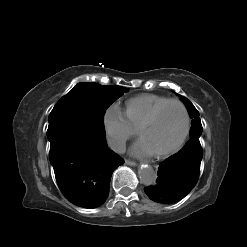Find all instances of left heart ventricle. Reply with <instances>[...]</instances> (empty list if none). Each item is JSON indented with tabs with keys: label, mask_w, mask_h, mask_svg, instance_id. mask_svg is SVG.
<instances>
[{
	"label": "left heart ventricle",
	"mask_w": 247,
	"mask_h": 247,
	"mask_svg": "<svg viewBox=\"0 0 247 247\" xmlns=\"http://www.w3.org/2000/svg\"><path fill=\"white\" fill-rule=\"evenodd\" d=\"M184 130V115L178 105L164 108L152 125L142 130L140 138L153 153L172 147Z\"/></svg>",
	"instance_id": "b2bd125f"
}]
</instances>
